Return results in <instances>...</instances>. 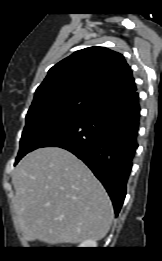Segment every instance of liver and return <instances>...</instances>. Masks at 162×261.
Masks as SVG:
<instances>
[{
    "label": "liver",
    "mask_w": 162,
    "mask_h": 261,
    "mask_svg": "<svg viewBox=\"0 0 162 261\" xmlns=\"http://www.w3.org/2000/svg\"><path fill=\"white\" fill-rule=\"evenodd\" d=\"M14 208L26 241L55 245L101 240L113 207L102 184L71 152L46 147L27 154L13 175Z\"/></svg>",
    "instance_id": "liver-1"
}]
</instances>
